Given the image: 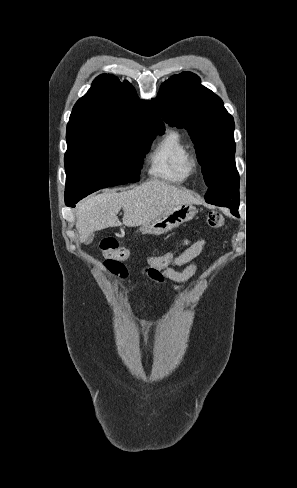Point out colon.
<instances>
[{
    "label": "colon",
    "instance_id": "5ec220e1",
    "mask_svg": "<svg viewBox=\"0 0 297 488\" xmlns=\"http://www.w3.org/2000/svg\"><path fill=\"white\" fill-rule=\"evenodd\" d=\"M207 224L213 229H220L225 226L223 215L216 210L207 214ZM101 249L107 255L104 260L105 267L114 275L124 278L127 275V269L123 261L131 257L129 249L118 245L112 237H106L102 240ZM185 246L176 247L175 249L159 256H152L147 259L149 270H163L170 267L178 256L184 251Z\"/></svg>",
    "mask_w": 297,
    "mask_h": 488
}]
</instances>
